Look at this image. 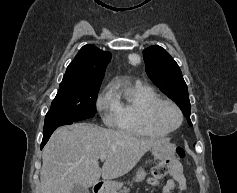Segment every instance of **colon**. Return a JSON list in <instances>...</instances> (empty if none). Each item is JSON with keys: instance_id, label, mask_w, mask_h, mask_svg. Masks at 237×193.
I'll use <instances>...</instances> for the list:
<instances>
[{"instance_id": "colon-1", "label": "colon", "mask_w": 237, "mask_h": 193, "mask_svg": "<svg viewBox=\"0 0 237 193\" xmlns=\"http://www.w3.org/2000/svg\"><path fill=\"white\" fill-rule=\"evenodd\" d=\"M176 154L179 158H184L185 157V151L182 148H177ZM172 169V164L171 160H166L159 162L155 167H154V182L162 179L164 176H166Z\"/></svg>"}]
</instances>
